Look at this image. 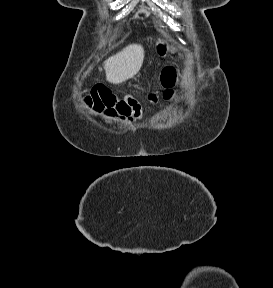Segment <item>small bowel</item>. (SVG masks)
Listing matches in <instances>:
<instances>
[{"instance_id":"1","label":"small bowel","mask_w":273,"mask_h":288,"mask_svg":"<svg viewBox=\"0 0 273 288\" xmlns=\"http://www.w3.org/2000/svg\"><path fill=\"white\" fill-rule=\"evenodd\" d=\"M137 116H140V108L137 111Z\"/></svg>"}]
</instances>
